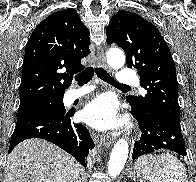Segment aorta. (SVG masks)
<instances>
[{
	"label": "aorta",
	"mask_w": 196,
	"mask_h": 182,
	"mask_svg": "<svg viewBox=\"0 0 196 182\" xmlns=\"http://www.w3.org/2000/svg\"><path fill=\"white\" fill-rule=\"evenodd\" d=\"M107 62L114 68L119 69L125 63V55L119 49H111L107 53ZM129 146L126 139L118 140L111 152L108 163V173L112 177H116L124 168L128 158Z\"/></svg>",
	"instance_id": "762f6f07"
}]
</instances>
